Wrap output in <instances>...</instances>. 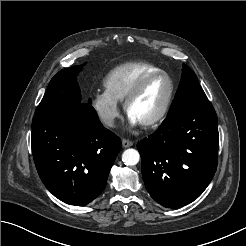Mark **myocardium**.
<instances>
[{
	"instance_id": "myocardium-1",
	"label": "myocardium",
	"mask_w": 246,
	"mask_h": 246,
	"mask_svg": "<svg viewBox=\"0 0 246 246\" xmlns=\"http://www.w3.org/2000/svg\"><path fill=\"white\" fill-rule=\"evenodd\" d=\"M159 76H165L168 79L170 83V91L166 99V102L162 110L159 112V114L155 116L153 119H151L150 121L141 124L144 128H147V129L156 127L161 122H163V120L166 118V116L168 115L170 111V108L174 100L175 91H176L175 82L173 78L171 77V75L164 70L155 71V72L145 75L137 82V84L133 87V89L129 92V94L126 96L124 100V110L127 114H129V108L131 104L141 94V92L148 85V83Z\"/></svg>"
}]
</instances>
